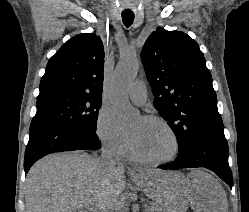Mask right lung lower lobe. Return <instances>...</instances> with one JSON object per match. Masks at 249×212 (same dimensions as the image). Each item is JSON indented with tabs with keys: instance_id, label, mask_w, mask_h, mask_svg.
<instances>
[{
	"instance_id": "98d812e1",
	"label": "right lung lower lobe",
	"mask_w": 249,
	"mask_h": 212,
	"mask_svg": "<svg viewBox=\"0 0 249 212\" xmlns=\"http://www.w3.org/2000/svg\"><path fill=\"white\" fill-rule=\"evenodd\" d=\"M99 148L100 143L96 133L64 125L39 127L30 132L24 157V170L27 173L38 159L50 153L93 151Z\"/></svg>"
}]
</instances>
